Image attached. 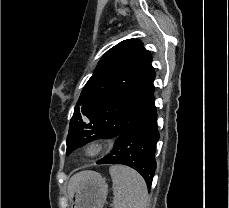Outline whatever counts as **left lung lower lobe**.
<instances>
[{
  "label": "left lung lower lobe",
  "mask_w": 229,
  "mask_h": 208,
  "mask_svg": "<svg viewBox=\"0 0 229 208\" xmlns=\"http://www.w3.org/2000/svg\"><path fill=\"white\" fill-rule=\"evenodd\" d=\"M156 119V108L154 106L126 128H123L121 134L117 136L113 150L97 161V164H123L129 166L142 175L148 189H150L156 169V143L160 137ZM116 134L117 132L98 133L76 148L82 147L97 138H114Z\"/></svg>",
  "instance_id": "obj_1"
}]
</instances>
